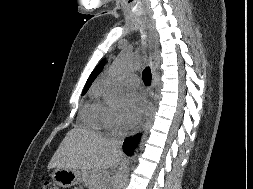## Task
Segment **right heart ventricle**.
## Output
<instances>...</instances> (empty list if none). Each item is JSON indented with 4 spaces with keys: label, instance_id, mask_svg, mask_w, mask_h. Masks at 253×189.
I'll return each instance as SVG.
<instances>
[{
    "label": "right heart ventricle",
    "instance_id": "e07e8e85",
    "mask_svg": "<svg viewBox=\"0 0 253 189\" xmlns=\"http://www.w3.org/2000/svg\"><path fill=\"white\" fill-rule=\"evenodd\" d=\"M82 121L93 129L103 126L104 111L103 104L99 101V89L95 88L90 93L89 100L84 105L81 112Z\"/></svg>",
    "mask_w": 253,
    "mask_h": 189
}]
</instances>
